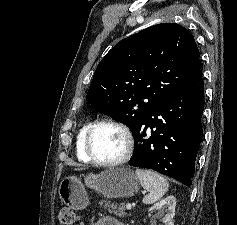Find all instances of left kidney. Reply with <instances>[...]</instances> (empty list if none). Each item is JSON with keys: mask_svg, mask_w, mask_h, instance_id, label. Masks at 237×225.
Segmentation results:
<instances>
[{"mask_svg": "<svg viewBox=\"0 0 237 225\" xmlns=\"http://www.w3.org/2000/svg\"><path fill=\"white\" fill-rule=\"evenodd\" d=\"M175 206L176 200L174 196H168L162 199L160 202L154 204L149 211L159 210V216L164 214V210L166 214L162 218V221L165 225H173V217L175 215Z\"/></svg>", "mask_w": 237, "mask_h": 225, "instance_id": "obj_1", "label": "left kidney"}]
</instances>
